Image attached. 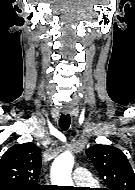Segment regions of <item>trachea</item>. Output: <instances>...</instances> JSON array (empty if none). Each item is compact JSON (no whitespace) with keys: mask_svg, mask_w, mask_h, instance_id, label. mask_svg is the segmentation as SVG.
Listing matches in <instances>:
<instances>
[{"mask_svg":"<svg viewBox=\"0 0 135 190\" xmlns=\"http://www.w3.org/2000/svg\"><path fill=\"white\" fill-rule=\"evenodd\" d=\"M71 123V118L69 114H62L60 116V120H59V126L63 131H66Z\"/></svg>","mask_w":135,"mask_h":190,"instance_id":"obj_1","label":"trachea"}]
</instances>
